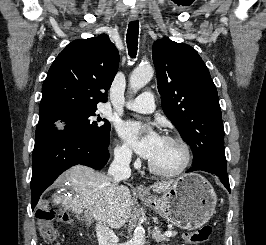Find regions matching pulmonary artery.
<instances>
[{
	"instance_id": "pulmonary-artery-1",
	"label": "pulmonary artery",
	"mask_w": 266,
	"mask_h": 245,
	"mask_svg": "<svg viewBox=\"0 0 266 245\" xmlns=\"http://www.w3.org/2000/svg\"><path fill=\"white\" fill-rule=\"evenodd\" d=\"M152 91H145L141 96H135V100H129L124 103V107L140 113H152L155 110Z\"/></svg>"
}]
</instances>
